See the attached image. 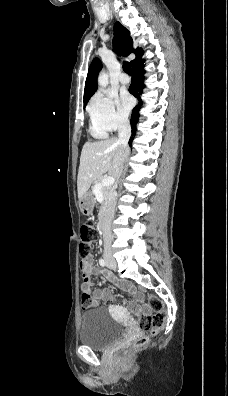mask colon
I'll return each instance as SVG.
<instances>
[{"label": "colon", "mask_w": 228, "mask_h": 396, "mask_svg": "<svg viewBox=\"0 0 228 396\" xmlns=\"http://www.w3.org/2000/svg\"><path fill=\"white\" fill-rule=\"evenodd\" d=\"M91 230V226L88 223H84L80 227V255L82 261L90 257V246L88 244V236ZM149 302L152 307L153 313L150 315H143L139 321L138 326L142 332H148L152 335L157 334L164 323L165 314L163 310L162 302L155 296L149 297ZM98 305L97 300L88 293H84L81 298V306L83 309H93ZM149 342V336L143 335L138 337L132 343V349H139L146 346Z\"/></svg>", "instance_id": "obj_1"}]
</instances>
